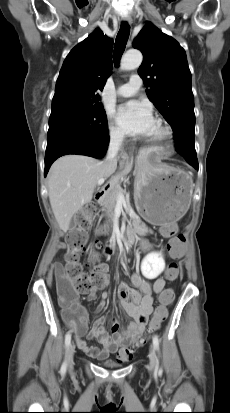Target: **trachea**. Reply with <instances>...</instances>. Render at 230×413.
Here are the masks:
<instances>
[{"mask_svg": "<svg viewBox=\"0 0 230 413\" xmlns=\"http://www.w3.org/2000/svg\"><path fill=\"white\" fill-rule=\"evenodd\" d=\"M130 33V27L127 22H122L117 34L114 46V63L118 66L120 58L125 50Z\"/></svg>", "mask_w": 230, "mask_h": 413, "instance_id": "3493384b", "label": "trachea"}]
</instances>
